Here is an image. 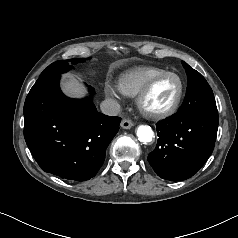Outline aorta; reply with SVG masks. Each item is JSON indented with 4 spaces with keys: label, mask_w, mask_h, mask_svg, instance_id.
<instances>
[{
    "label": "aorta",
    "mask_w": 238,
    "mask_h": 238,
    "mask_svg": "<svg viewBox=\"0 0 238 238\" xmlns=\"http://www.w3.org/2000/svg\"><path fill=\"white\" fill-rule=\"evenodd\" d=\"M139 141L143 143L151 142L154 136L152 128L148 125H140L136 131Z\"/></svg>",
    "instance_id": "1"
}]
</instances>
